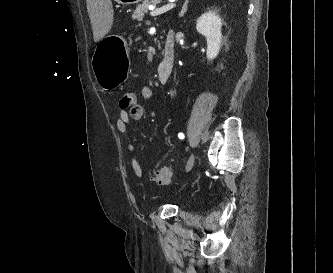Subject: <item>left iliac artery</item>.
Segmentation results:
<instances>
[{"mask_svg": "<svg viewBox=\"0 0 333 273\" xmlns=\"http://www.w3.org/2000/svg\"><path fill=\"white\" fill-rule=\"evenodd\" d=\"M178 137H179V139H184L185 136H184L183 133H179V134H178Z\"/></svg>", "mask_w": 333, "mask_h": 273, "instance_id": "1", "label": "left iliac artery"}]
</instances>
